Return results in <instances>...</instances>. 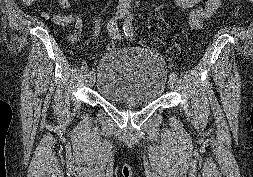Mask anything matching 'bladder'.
<instances>
[{"label":"bladder","instance_id":"31cf9c89","mask_svg":"<svg viewBox=\"0 0 253 177\" xmlns=\"http://www.w3.org/2000/svg\"><path fill=\"white\" fill-rule=\"evenodd\" d=\"M166 84L164 60L151 49H114L99 63L96 91L109 103L148 105L162 95Z\"/></svg>","mask_w":253,"mask_h":177}]
</instances>
